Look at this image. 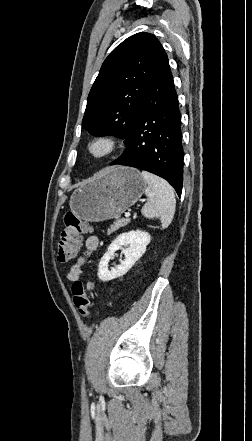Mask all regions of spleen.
<instances>
[{"label": "spleen", "mask_w": 252, "mask_h": 441, "mask_svg": "<svg viewBox=\"0 0 252 441\" xmlns=\"http://www.w3.org/2000/svg\"><path fill=\"white\" fill-rule=\"evenodd\" d=\"M141 176L148 184L145 189L147 202L141 213L148 219H159L162 229H165L171 224L175 213L176 199L173 188L164 179L147 171H142Z\"/></svg>", "instance_id": "obj_1"}]
</instances>
